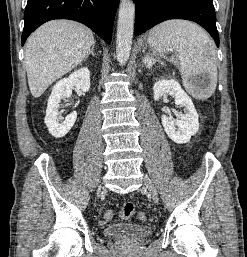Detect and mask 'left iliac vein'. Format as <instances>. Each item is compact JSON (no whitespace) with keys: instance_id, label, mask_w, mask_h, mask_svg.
I'll list each match as a JSON object with an SVG mask.
<instances>
[{"instance_id":"4c4485c4","label":"left iliac vein","mask_w":247,"mask_h":257,"mask_svg":"<svg viewBox=\"0 0 247 257\" xmlns=\"http://www.w3.org/2000/svg\"><path fill=\"white\" fill-rule=\"evenodd\" d=\"M144 185L146 187V189L148 190L149 194L151 195L153 201L155 203L158 202V194H157V190L154 187L152 181L150 179H148L147 177H144Z\"/></svg>"}]
</instances>
